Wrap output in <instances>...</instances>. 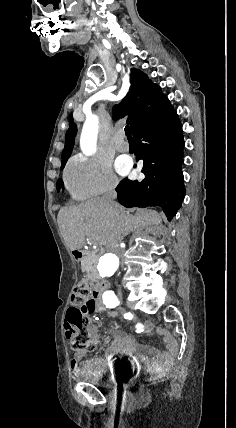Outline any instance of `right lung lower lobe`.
<instances>
[{"label": "right lung lower lobe", "mask_w": 236, "mask_h": 428, "mask_svg": "<svg viewBox=\"0 0 236 428\" xmlns=\"http://www.w3.org/2000/svg\"><path fill=\"white\" fill-rule=\"evenodd\" d=\"M142 159L145 179H123L117 186L118 201L125 207L159 206L170 221L179 210L184 195V140L182 125L171 106L143 122L133 131Z\"/></svg>", "instance_id": "right-lung-lower-lobe-1"}]
</instances>
